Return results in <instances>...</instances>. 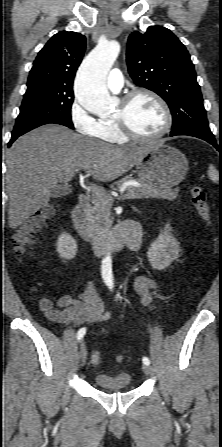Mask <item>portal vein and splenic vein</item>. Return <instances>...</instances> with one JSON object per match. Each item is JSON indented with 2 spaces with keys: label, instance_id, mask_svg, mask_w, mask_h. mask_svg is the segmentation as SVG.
<instances>
[{
  "label": "portal vein and splenic vein",
  "instance_id": "18ae733b",
  "mask_svg": "<svg viewBox=\"0 0 222 447\" xmlns=\"http://www.w3.org/2000/svg\"><path fill=\"white\" fill-rule=\"evenodd\" d=\"M125 185H126V186L137 187V188H140V187H141V185H140L138 182H135V181H128V182L125 183ZM92 193H93L94 195H97V196H102V195H103V190L100 189V188L94 187V188L92 189ZM133 198H135V195L132 194V193H127V194H125V195L122 196V199H133ZM109 200H110V201H113L112 198H109Z\"/></svg>",
  "mask_w": 222,
  "mask_h": 447
}]
</instances>
